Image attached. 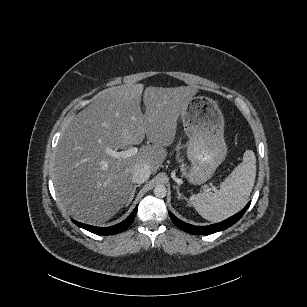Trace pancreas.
Returning a JSON list of instances; mask_svg holds the SVG:
<instances>
[{"label": "pancreas", "instance_id": "1", "mask_svg": "<svg viewBox=\"0 0 307 307\" xmlns=\"http://www.w3.org/2000/svg\"><path fill=\"white\" fill-rule=\"evenodd\" d=\"M175 151L173 150L169 155H172ZM175 158L177 159V162L180 165V172L181 177L188 179L189 178V172H190V166L187 165L184 161V157L180 155V152H176Z\"/></svg>", "mask_w": 307, "mask_h": 307}]
</instances>
